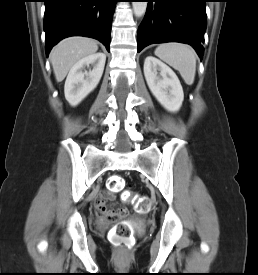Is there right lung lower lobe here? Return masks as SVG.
Masks as SVG:
<instances>
[{
	"label": "right lung lower lobe",
	"instance_id": "right-lung-lower-lobe-1",
	"mask_svg": "<svg viewBox=\"0 0 258 275\" xmlns=\"http://www.w3.org/2000/svg\"><path fill=\"white\" fill-rule=\"evenodd\" d=\"M45 49L69 36L101 41L109 51L113 12L118 0H44Z\"/></svg>",
	"mask_w": 258,
	"mask_h": 275
}]
</instances>
